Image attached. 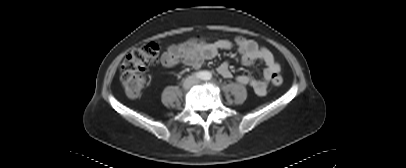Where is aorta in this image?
I'll use <instances>...</instances> for the list:
<instances>
[{
	"instance_id": "1",
	"label": "aorta",
	"mask_w": 406,
	"mask_h": 168,
	"mask_svg": "<svg viewBox=\"0 0 406 168\" xmlns=\"http://www.w3.org/2000/svg\"><path fill=\"white\" fill-rule=\"evenodd\" d=\"M210 78H211V73L206 72V73H205V79H210Z\"/></svg>"
}]
</instances>
